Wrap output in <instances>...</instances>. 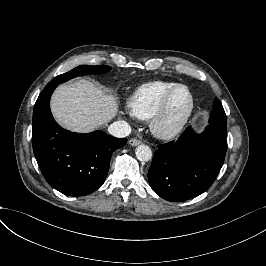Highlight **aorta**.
Returning a JSON list of instances; mask_svg holds the SVG:
<instances>
[{
    "label": "aorta",
    "mask_w": 266,
    "mask_h": 266,
    "mask_svg": "<svg viewBox=\"0 0 266 266\" xmlns=\"http://www.w3.org/2000/svg\"><path fill=\"white\" fill-rule=\"evenodd\" d=\"M135 154L137 159L143 162H147L152 158V150L145 144L139 145L135 150Z\"/></svg>",
    "instance_id": "aorta-1"
}]
</instances>
